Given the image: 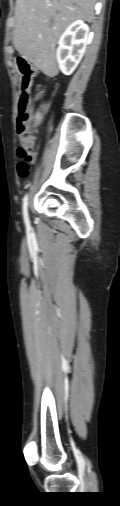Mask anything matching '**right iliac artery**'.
I'll list each match as a JSON object with an SVG mask.
<instances>
[{"mask_svg": "<svg viewBox=\"0 0 120 506\" xmlns=\"http://www.w3.org/2000/svg\"><path fill=\"white\" fill-rule=\"evenodd\" d=\"M23 217L26 225L29 224V217H28V194L25 195L23 199Z\"/></svg>", "mask_w": 120, "mask_h": 506, "instance_id": "right-iliac-artery-1", "label": "right iliac artery"}]
</instances>
